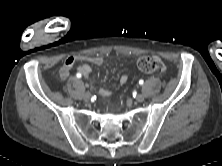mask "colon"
<instances>
[{
    "instance_id": "colon-1",
    "label": "colon",
    "mask_w": 222,
    "mask_h": 166,
    "mask_svg": "<svg viewBox=\"0 0 222 166\" xmlns=\"http://www.w3.org/2000/svg\"><path fill=\"white\" fill-rule=\"evenodd\" d=\"M138 68L144 73H163L166 69L164 62L155 56H143L138 60Z\"/></svg>"
}]
</instances>
